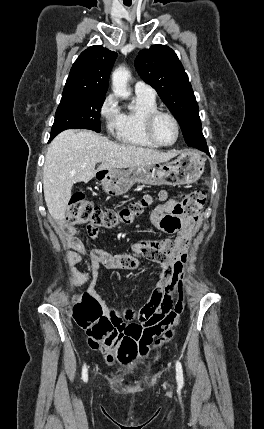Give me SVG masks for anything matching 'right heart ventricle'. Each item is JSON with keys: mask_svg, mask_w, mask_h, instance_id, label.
I'll use <instances>...</instances> for the list:
<instances>
[{"mask_svg": "<svg viewBox=\"0 0 264 429\" xmlns=\"http://www.w3.org/2000/svg\"><path fill=\"white\" fill-rule=\"evenodd\" d=\"M158 109L155 97L138 95L135 96V107L120 113L118 125L114 131L115 138L126 145L156 148L144 130V121L147 114Z\"/></svg>", "mask_w": 264, "mask_h": 429, "instance_id": "e07e8e85", "label": "right heart ventricle"}]
</instances>
